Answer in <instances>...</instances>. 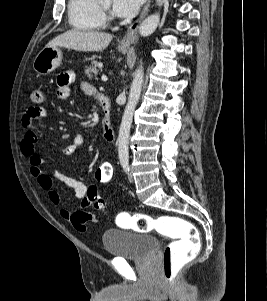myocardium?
<instances>
[{
  "label": "myocardium",
  "instance_id": "1",
  "mask_svg": "<svg viewBox=\"0 0 267 301\" xmlns=\"http://www.w3.org/2000/svg\"><path fill=\"white\" fill-rule=\"evenodd\" d=\"M97 2H98V8H99V10H100V12H101L103 18L106 19V20L109 21V22H112V21H113V18L111 17V15H110V13H109V10L106 9V8H104V7L100 4L99 0H97Z\"/></svg>",
  "mask_w": 267,
  "mask_h": 301
}]
</instances>
